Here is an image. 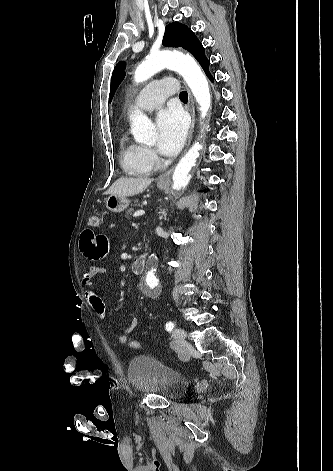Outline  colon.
Instances as JSON below:
<instances>
[{
  "instance_id": "5ec220e1",
  "label": "colon",
  "mask_w": 333,
  "mask_h": 471,
  "mask_svg": "<svg viewBox=\"0 0 333 471\" xmlns=\"http://www.w3.org/2000/svg\"><path fill=\"white\" fill-rule=\"evenodd\" d=\"M99 222H100V218L98 215H92L90 218H89V225L90 227H98L99 226ZM128 346L129 348L131 349H134V350H137L141 347V344L139 341L137 340H130L128 343Z\"/></svg>"
}]
</instances>
